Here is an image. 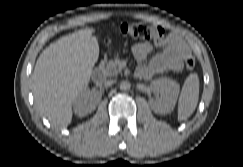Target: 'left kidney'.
Masks as SVG:
<instances>
[{"label": "left kidney", "mask_w": 243, "mask_h": 167, "mask_svg": "<svg viewBox=\"0 0 243 167\" xmlns=\"http://www.w3.org/2000/svg\"><path fill=\"white\" fill-rule=\"evenodd\" d=\"M150 86L153 91L161 95L158 100H149L151 109L158 114L170 113L177 101L180 90L179 84L169 78H161L152 81Z\"/></svg>", "instance_id": "obj_1"}]
</instances>
